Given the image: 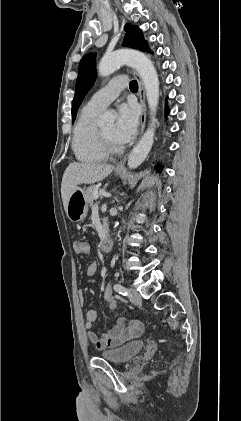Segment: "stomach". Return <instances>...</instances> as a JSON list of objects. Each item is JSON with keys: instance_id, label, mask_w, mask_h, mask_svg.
<instances>
[{"instance_id": "0dacf381", "label": "stomach", "mask_w": 241, "mask_h": 421, "mask_svg": "<svg viewBox=\"0 0 241 421\" xmlns=\"http://www.w3.org/2000/svg\"><path fill=\"white\" fill-rule=\"evenodd\" d=\"M117 174H122L124 171L121 169L115 170ZM88 212V203L85 200V191L80 187H76L71 193L66 214L70 221L79 222L83 220Z\"/></svg>"}]
</instances>
